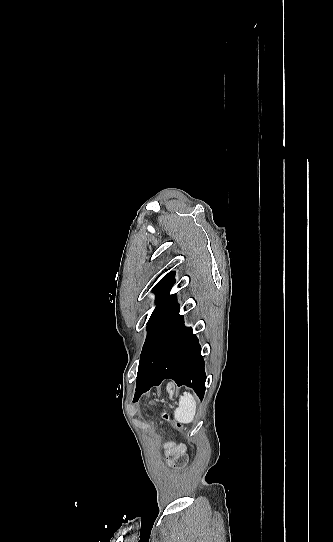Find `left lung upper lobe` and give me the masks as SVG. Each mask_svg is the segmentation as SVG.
Here are the masks:
<instances>
[{
  "label": "left lung upper lobe",
  "instance_id": "left-lung-upper-lobe-1",
  "mask_svg": "<svg viewBox=\"0 0 333 542\" xmlns=\"http://www.w3.org/2000/svg\"><path fill=\"white\" fill-rule=\"evenodd\" d=\"M174 276V271L169 272L153 288V292L156 295V308L152 312L147 322V337L141 352L139 368L141 366L145 352L154 336L179 309V304L176 301V296L169 295L170 289L175 283Z\"/></svg>",
  "mask_w": 333,
  "mask_h": 542
}]
</instances>
